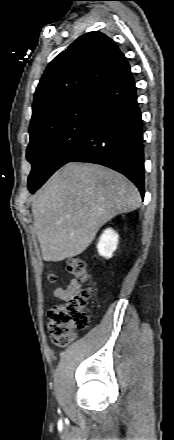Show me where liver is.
<instances>
[{
    "instance_id": "obj_1",
    "label": "liver",
    "mask_w": 174,
    "mask_h": 440,
    "mask_svg": "<svg viewBox=\"0 0 174 440\" xmlns=\"http://www.w3.org/2000/svg\"><path fill=\"white\" fill-rule=\"evenodd\" d=\"M140 202L138 189L122 174L97 164H66L32 202L43 259L57 262L81 254L102 225Z\"/></svg>"
}]
</instances>
